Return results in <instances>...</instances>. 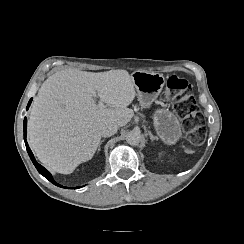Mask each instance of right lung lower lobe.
<instances>
[{
  "instance_id": "right-lung-lower-lobe-1",
  "label": "right lung lower lobe",
  "mask_w": 244,
  "mask_h": 244,
  "mask_svg": "<svg viewBox=\"0 0 244 244\" xmlns=\"http://www.w3.org/2000/svg\"><path fill=\"white\" fill-rule=\"evenodd\" d=\"M31 102H32V99H30V101L28 102L27 109L29 108ZM26 135H27V118L25 117V118H24V141H25V145H26L27 152H28V154H29V156H30V158H31V160H32V162H33V164L35 165V167H36V169L38 170V172H39L41 175H43L45 178H47L50 182H52L53 184H55V185H57V186H59V187L67 188V187H64V186H62V185L57 184V183L53 180L51 174H50V173H49L43 166H41L40 164H38V163L36 162V160H35V158H34V155H33L32 151H31V149L29 148L28 143H27V141H26ZM78 188H79V187H78ZM68 189H70V188H68ZM72 189H73V188H72Z\"/></svg>"
}]
</instances>
